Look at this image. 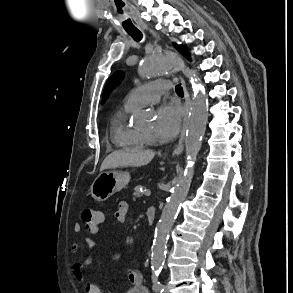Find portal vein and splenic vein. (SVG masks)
Segmentation results:
<instances>
[{"label":"portal vein and splenic vein","mask_w":293,"mask_h":293,"mask_svg":"<svg viewBox=\"0 0 293 293\" xmlns=\"http://www.w3.org/2000/svg\"><path fill=\"white\" fill-rule=\"evenodd\" d=\"M144 194H145V196H150L151 195V191L147 189V190H145Z\"/></svg>","instance_id":"portal-vein-and-splenic-vein-1"}]
</instances>
